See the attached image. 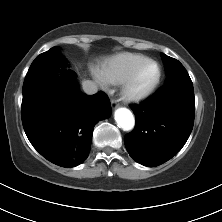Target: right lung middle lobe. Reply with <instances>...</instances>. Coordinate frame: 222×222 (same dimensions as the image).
I'll list each match as a JSON object with an SVG mask.
<instances>
[{
    "label": "right lung middle lobe",
    "instance_id": "obj_1",
    "mask_svg": "<svg viewBox=\"0 0 222 222\" xmlns=\"http://www.w3.org/2000/svg\"><path fill=\"white\" fill-rule=\"evenodd\" d=\"M66 64L65 59L60 54L59 47H53L33 61L23 84V97L46 89H63L75 84L74 73L65 71L62 78L57 76L59 67Z\"/></svg>",
    "mask_w": 222,
    "mask_h": 222
}]
</instances>
